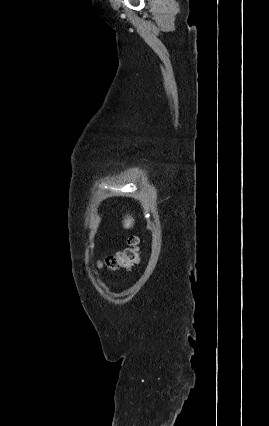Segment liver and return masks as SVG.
Here are the masks:
<instances>
[{"label": "liver", "mask_w": 269, "mask_h": 426, "mask_svg": "<svg viewBox=\"0 0 269 426\" xmlns=\"http://www.w3.org/2000/svg\"><path fill=\"white\" fill-rule=\"evenodd\" d=\"M133 225H134V219L132 218V216L127 215L123 220V227L125 229H129L133 227Z\"/></svg>", "instance_id": "6515ba94"}]
</instances>
